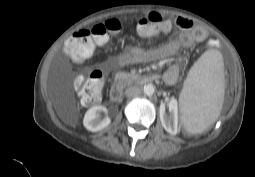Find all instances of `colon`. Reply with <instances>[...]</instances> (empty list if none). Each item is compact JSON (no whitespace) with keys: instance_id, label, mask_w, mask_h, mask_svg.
<instances>
[{"instance_id":"colon-1","label":"colon","mask_w":255,"mask_h":177,"mask_svg":"<svg viewBox=\"0 0 255 177\" xmlns=\"http://www.w3.org/2000/svg\"><path fill=\"white\" fill-rule=\"evenodd\" d=\"M169 20L157 11H149L137 21V31L143 37H152L167 30ZM123 24L115 19L93 25L73 34L65 43L64 52L74 60H86L97 46L106 43L109 34L119 33ZM105 74L93 70L87 78L78 77L75 88L84 104L94 105L100 101Z\"/></svg>"}]
</instances>
